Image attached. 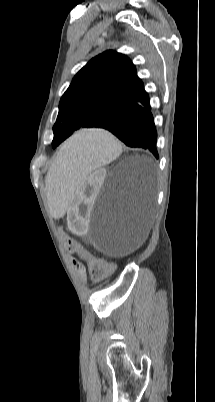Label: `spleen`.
<instances>
[{
    "mask_svg": "<svg viewBox=\"0 0 215 402\" xmlns=\"http://www.w3.org/2000/svg\"><path fill=\"white\" fill-rule=\"evenodd\" d=\"M120 144L112 137L109 128H78L61 149L47 177L51 196L47 212L52 218L65 215L72 196L86 178L112 161L120 152Z\"/></svg>",
    "mask_w": 215,
    "mask_h": 402,
    "instance_id": "obj_1",
    "label": "spleen"
}]
</instances>
